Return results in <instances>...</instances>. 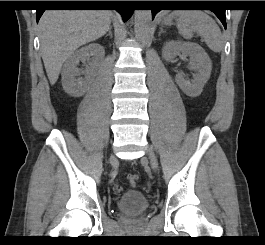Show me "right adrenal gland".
<instances>
[{
  "mask_svg": "<svg viewBox=\"0 0 265 245\" xmlns=\"http://www.w3.org/2000/svg\"><path fill=\"white\" fill-rule=\"evenodd\" d=\"M111 29H112V27L109 28L108 33L105 35V37H107V36H110V38L113 37Z\"/></svg>",
  "mask_w": 265,
  "mask_h": 245,
  "instance_id": "right-adrenal-gland-1",
  "label": "right adrenal gland"
}]
</instances>
